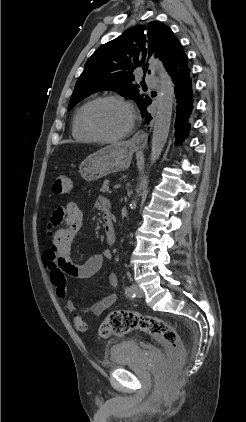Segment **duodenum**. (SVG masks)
Returning a JSON list of instances; mask_svg holds the SVG:
<instances>
[{
  "mask_svg": "<svg viewBox=\"0 0 246 422\" xmlns=\"http://www.w3.org/2000/svg\"><path fill=\"white\" fill-rule=\"evenodd\" d=\"M104 229L107 243L109 245H113L116 240V234L112 219L110 217L104 218Z\"/></svg>",
  "mask_w": 246,
  "mask_h": 422,
  "instance_id": "1",
  "label": "duodenum"
}]
</instances>
